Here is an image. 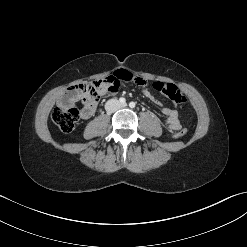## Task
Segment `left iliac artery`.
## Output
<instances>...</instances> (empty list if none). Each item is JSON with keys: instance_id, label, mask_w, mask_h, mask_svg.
<instances>
[{"instance_id": "1", "label": "left iliac artery", "mask_w": 247, "mask_h": 247, "mask_svg": "<svg viewBox=\"0 0 247 247\" xmlns=\"http://www.w3.org/2000/svg\"><path fill=\"white\" fill-rule=\"evenodd\" d=\"M135 105H136V104H135L134 102H130V103H129V107H130V108H134Z\"/></svg>"}]
</instances>
